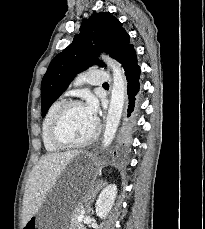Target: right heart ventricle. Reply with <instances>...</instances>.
<instances>
[{"label": "right heart ventricle", "mask_w": 205, "mask_h": 229, "mask_svg": "<svg viewBox=\"0 0 205 229\" xmlns=\"http://www.w3.org/2000/svg\"><path fill=\"white\" fill-rule=\"evenodd\" d=\"M63 103H64L63 99L55 100L50 105V107L48 108L46 115H45L43 122H42V141H43V144H44L46 151H48V152H55V151H58L60 149V147H58L52 143L50 136H49V131H50V126H51V122L53 120V117H54L56 111L59 109V107Z\"/></svg>", "instance_id": "1"}]
</instances>
